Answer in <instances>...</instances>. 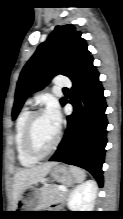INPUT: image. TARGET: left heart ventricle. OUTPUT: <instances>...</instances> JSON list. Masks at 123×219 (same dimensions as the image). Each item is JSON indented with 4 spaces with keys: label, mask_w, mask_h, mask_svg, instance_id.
Listing matches in <instances>:
<instances>
[{
    "label": "left heart ventricle",
    "mask_w": 123,
    "mask_h": 219,
    "mask_svg": "<svg viewBox=\"0 0 123 219\" xmlns=\"http://www.w3.org/2000/svg\"><path fill=\"white\" fill-rule=\"evenodd\" d=\"M58 127L49 118L46 112L40 114L33 126V141L40 151L47 150L56 138Z\"/></svg>",
    "instance_id": "b2bd125f"
}]
</instances>
